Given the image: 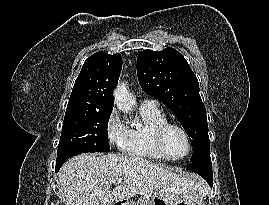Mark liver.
<instances>
[{"instance_id": "liver-1", "label": "liver", "mask_w": 269, "mask_h": 205, "mask_svg": "<svg viewBox=\"0 0 269 205\" xmlns=\"http://www.w3.org/2000/svg\"><path fill=\"white\" fill-rule=\"evenodd\" d=\"M117 178L123 181L111 189ZM67 205H112L137 194L167 198L203 196L194 174H176L137 156L80 154L68 160L57 180Z\"/></svg>"}]
</instances>
